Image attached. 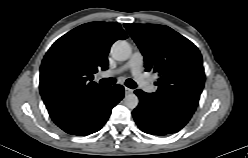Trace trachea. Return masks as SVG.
<instances>
[{
	"label": "trachea",
	"mask_w": 248,
	"mask_h": 158,
	"mask_svg": "<svg viewBox=\"0 0 248 158\" xmlns=\"http://www.w3.org/2000/svg\"><path fill=\"white\" fill-rule=\"evenodd\" d=\"M114 83H116L115 78H103L100 80V84L105 85V86L113 85ZM125 84L127 87L131 89H134L137 86L136 83L132 79H127Z\"/></svg>",
	"instance_id": "trachea-1"
}]
</instances>
